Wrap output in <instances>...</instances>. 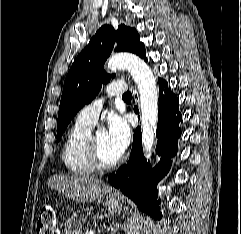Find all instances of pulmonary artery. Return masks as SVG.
I'll return each instance as SVG.
<instances>
[{
  "label": "pulmonary artery",
  "instance_id": "pulmonary-artery-1",
  "mask_svg": "<svg viewBox=\"0 0 241 234\" xmlns=\"http://www.w3.org/2000/svg\"><path fill=\"white\" fill-rule=\"evenodd\" d=\"M126 92V86L122 82H113L106 88V96H119ZM105 97L98 98L85 106L78 114L77 120L94 125L102 109Z\"/></svg>",
  "mask_w": 241,
  "mask_h": 234
}]
</instances>
